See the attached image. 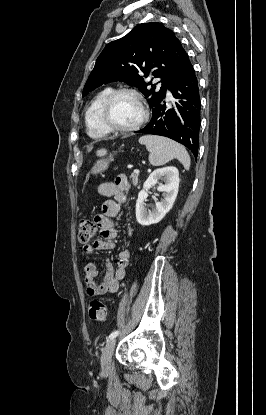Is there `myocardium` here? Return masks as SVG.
Listing matches in <instances>:
<instances>
[{
  "instance_id": "obj_1",
  "label": "myocardium",
  "mask_w": 266,
  "mask_h": 415,
  "mask_svg": "<svg viewBox=\"0 0 266 415\" xmlns=\"http://www.w3.org/2000/svg\"><path fill=\"white\" fill-rule=\"evenodd\" d=\"M122 94H130L132 96H134L140 107L142 110V116L139 119V121L137 123H135L132 126H128V127H121V126H117L111 118V109H112V105L113 102L115 101V99ZM101 118L102 121L104 123V125L111 131V132H116V133H128V132H132L135 131L137 129H139L141 126H143L146 121L149 118V111L148 108L144 102L143 97L141 96V94L133 89V88H119L116 90H113L109 96L107 97V99L105 100L103 107H102V112H101Z\"/></svg>"
}]
</instances>
